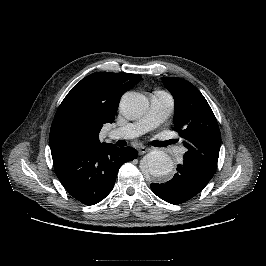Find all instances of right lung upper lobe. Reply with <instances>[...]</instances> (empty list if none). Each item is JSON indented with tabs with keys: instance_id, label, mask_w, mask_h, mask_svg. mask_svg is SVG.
I'll list each match as a JSON object with an SVG mask.
<instances>
[{
	"instance_id": "right-lung-upper-lobe-1",
	"label": "right lung upper lobe",
	"mask_w": 266,
	"mask_h": 266,
	"mask_svg": "<svg viewBox=\"0 0 266 266\" xmlns=\"http://www.w3.org/2000/svg\"><path fill=\"white\" fill-rule=\"evenodd\" d=\"M140 76L96 72L77 83L60 104L52 122L51 154L102 146L99 133L112 123L120 96L136 85Z\"/></svg>"
}]
</instances>
